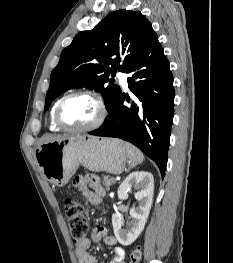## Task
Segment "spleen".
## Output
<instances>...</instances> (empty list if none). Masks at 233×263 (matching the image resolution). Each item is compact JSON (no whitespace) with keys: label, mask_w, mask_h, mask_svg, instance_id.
Wrapping results in <instances>:
<instances>
[{"label":"spleen","mask_w":233,"mask_h":263,"mask_svg":"<svg viewBox=\"0 0 233 263\" xmlns=\"http://www.w3.org/2000/svg\"><path fill=\"white\" fill-rule=\"evenodd\" d=\"M125 146L127 149L129 165L131 168L136 167L138 164L144 161V155L139 149L129 143H125Z\"/></svg>","instance_id":"1"}]
</instances>
